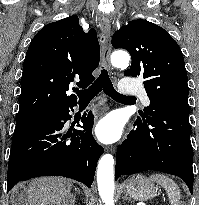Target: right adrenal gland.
<instances>
[{
    "instance_id": "obj_1",
    "label": "right adrenal gland",
    "mask_w": 199,
    "mask_h": 205,
    "mask_svg": "<svg viewBox=\"0 0 199 205\" xmlns=\"http://www.w3.org/2000/svg\"><path fill=\"white\" fill-rule=\"evenodd\" d=\"M76 192H80V190L78 188H75ZM73 205H75V196H73Z\"/></svg>"
}]
</instances>
